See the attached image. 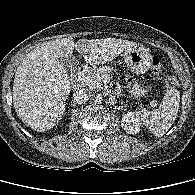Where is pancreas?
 Here are the masks:
<instances>
[{
	"mask_svg": "<svg viewBox=\"0 0 195 195\" xmlns=\"http://www.w3.org/2000/svg\"><path fill=\"white\" fill-rule=\"evenodd\" d=\"M112 68L110 67H100L96 70L90 71L84 74L81 78V82L84 86H88L91 90L93 89H101L102 88V80L103 77L109 75L112 72Z\"/></svg>",
	"mask_w": 195,
	"mask_h": 195,
	"instance_id": "obj_1",
	"label": "pancreas"
}]
</instances>
